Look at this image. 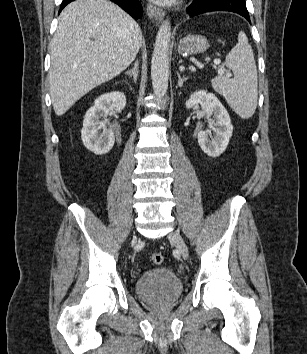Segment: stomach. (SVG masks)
Segmentation results:
<instances>
[{
  "mask_svg": "<svg viewBox=\"0 0 307 354\" xmlns=\"http://www.w3.org/2000/svg\"><path fill=\"white\" fill-rule=\"evenodd\" d=\"M209 48L206 37L197 34H189L178 43L177 50L182 55L200 54Z\"/></svg>",
  "mask_w": 307,
  "mask_h": 354,
  "instance_id": "obj_1",
  "label": "stomach"
}]
</instances>
